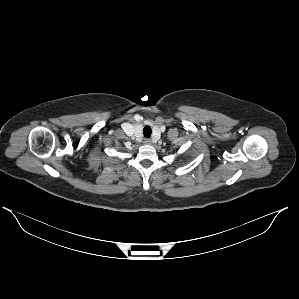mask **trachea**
I'll return each mask as SVG.
<instances>
[{
	"label": "trachea",
	"instance_id": "3493384b",
	"mask_svg": "<svg viewBox=\"0 0 299 299\" xmlns=\"http://www.w3.org/2000/svg\"><path fill=\"white\" fill-rule=\"evenodd\" d=\"M152 129L150 126H145L143 129V134L146 138H149L151 136Z\"/></svg>",
	"mask_w": 299,
	"mask_h": 299
}]
</instances>
